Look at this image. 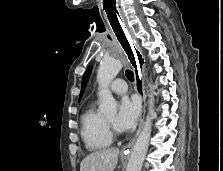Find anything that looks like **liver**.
<instances>
[{"instance_id": "6515ba94", "label": "liver", "mask_w": 223, "mask_h": 171, "mask_svg": "<svg viewBox=\"0 0 223 171\" xmlns=\"http://www.w3.org/2000/svg\"><path fill=\"white\" fill-rule=\"evenodd\" d=\"M118 155V148L95 151L82 160L80 171H114Z\"/></svg>"}]
</instances>
